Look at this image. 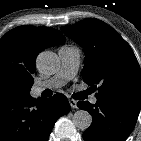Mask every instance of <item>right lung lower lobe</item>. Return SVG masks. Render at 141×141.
<instances>
[{
  "label": "right lung lower lobe",
  "mask_w": 141,
  "mask_h": 141,
  "mask_svg": "<svg viewBox=\"0 0 141 141\" xmlns=\"http://www.w3.org/2000/svg\"><path fill=\"white\" fill-rule=\"evenodd\" d=\"M69 111L62 94L0 100V141H47L57 119Z\"/></svg>",
  "instance_id": "98d812e1"
}]
</instances>
